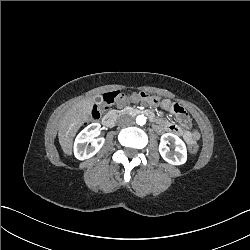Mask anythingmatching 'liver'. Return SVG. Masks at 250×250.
<instances>
[{
  "label": "liver",
  "instance_id": "liver-1",
  "mask_svg": "<svg viewBox=\"0 0 250 250\" xmlns=\"http://www.w3.org/2000/svg\"><path fill=\"white\" fill-rule=\"evenodd\" d=\"M93 99L85 98L78 101L70 110L66 112L60 122L58 131L59 143L63 151L71 154L72 140L80 125L88 120Z\"/></svg>",
  "mask_w": 250,
  "mask_h": 250
}]
</instances>
